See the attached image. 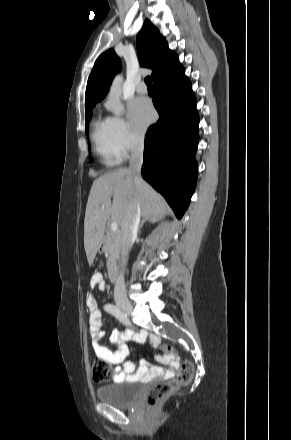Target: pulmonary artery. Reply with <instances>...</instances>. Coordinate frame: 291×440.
Here are the masks:
<instances>
[{
	"mask_svg": "<svg viewBox=\"0 0 291 440\" xmlns=\"http://www.w3.org/2000/svg\"><path fill=\"white\" fill-rule=\"evenodd\" d=\"M136 91L139 94H146L147 93V85L145 82L141 81L138 83L137 87H136Z\"/></svg>",
	"mask_w": 291,
	"mask_h": 440,
	"instance_id": "pulmonary-artery-1",
	"label": "pulmonary artery"
}]
</instances>
